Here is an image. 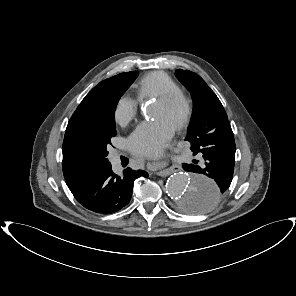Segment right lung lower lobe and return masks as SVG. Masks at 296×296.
I'll list each match as a JSON object with an SVG mask.
<instances>
[{
	"label": "right lung lower lobe",
	"mask_w": 296,
	"mask_h": 296,
	"mask_svg": "<svg viewBox=\"0 0 296 296\" xmlns=\"http://www.w3.org/2000/svg\"><path fill=\"white\" fill-rule=\"evenodd\" d=\"M139 177H148V173L127 168L122 176H118L108 163L79 181L70 191L85 208L96 213L111 214L130 202L134 181Z\"/></svg>",
	"instance_id": "98d812e1"
}]
</instances>
